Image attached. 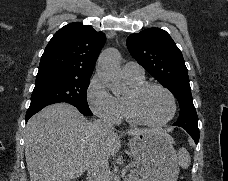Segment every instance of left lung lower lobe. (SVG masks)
<instances>
[{
  "label": "left lung lower lobe",
  "instance_id": "0a47b994",
  "mask_svg": "<svg viewBox=\"0 0 228 181\" xmlns=\"http://www.w3.org/2000/svg\"><path fill=\"white\" fill-rule=\"evenodd\" d=\"M189 135L194 139L195 143L197 144L199 141V129H186Z\"/></svg>",
  "mask_w": 228,
  "mask_h": 181
}]
</instances>
